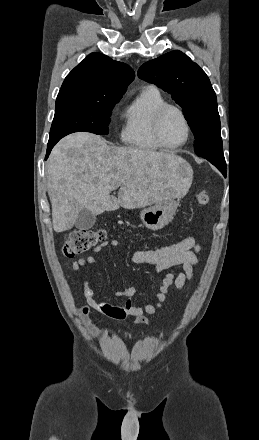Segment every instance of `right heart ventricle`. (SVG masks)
Wrapping results in <instances>:
<instances>
[{"label":"right heart ventricle","instance_id":"e07e8e85","mask_svg":"<svg viewBox=\"0 0 259 440\" xmlns=\"http://www.w3.org/2000/svg\"><path fill=\"white\" fill-rule=\"evenodd\" d=\"M165 104V99L156 89L147 88L137 95L122 114V141L141 151L160 150L153 136V121L157 111Z\"/></svg>","mask_w":259,"mask_h":440}]
</instances>
